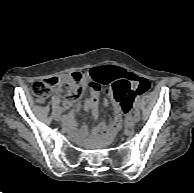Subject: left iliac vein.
Segmentation results:
<instances>
[{
    "mask_svg": "<svg viewBox=\"0 0 194 193\" xmlns=\"http://www.w3.org/2000/svg\"><path fill=\"white\" fill-rule=\"evenodd\" d=\"M134 123H138L139 120H140V112H139V109L138 108H135L134 110Z\"/></svg>",
    "mask_w": 194,
    "mask_h": 193,
    "instance_id": "4c4485c4",
    "label": "left iliac vein"
}]
</instances>
